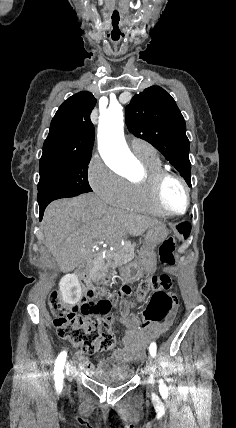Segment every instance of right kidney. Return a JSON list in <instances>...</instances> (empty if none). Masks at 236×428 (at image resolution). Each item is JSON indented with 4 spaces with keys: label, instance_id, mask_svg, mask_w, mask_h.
Wrapping results in <instances>:
<instances>
[{
    "label": "right kidney",
    "instance_id": "right-kidney-1",
    "mask_svg": "<svg viewBox=\"0 0 236 428\" xmlns=\"http://www.w3.org/2000/svg\"><path fill=\"white\" fill-rule=\"evenodd\" d=\"M60 292L66 304H77L81 300V286L75 274L71 272L60 282Z\"/></svg>",
    "mask_w": 236,
    "mask_h": 428
}]
</instances>
